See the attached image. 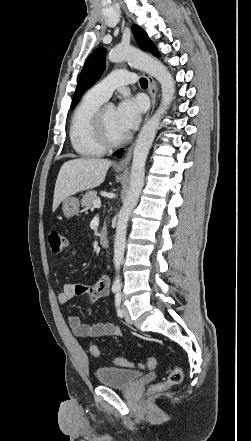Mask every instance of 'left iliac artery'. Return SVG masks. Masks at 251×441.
Listing matches in <instances>:
<instances>
[{
	"mask_svg": "<svg viewBox=\"0 0 251 441\" xmlns=\"http://www.w3.org/2000/svg\"><path fill=\"white\" fill-rule=\"evenodd\" d=\"M120 305H121V293H120V291H117L116 295H115V307L117 310V316L122 318L123 311L121 310Z\"/></svg>",
	"mask_w": 251,
	"mask_h": 441,
	"instance_id": "1",
	"label": "left iliac artery"
}]
</instances>
